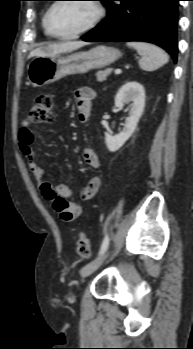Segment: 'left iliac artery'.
Instances as JSON below:
<instances>
[{
  "label": "left iliac artery",
  "mask_w": 193,
  "mask_h": 349,
  "mask_svg": "<svg viewBox=\"0 0 193 349\" xmlns=\"http://www.w3.org/2000/svg\"><path fill=\"white\" fill-rule=\"evenodd\" d=\"M108 245H109V237H108V235H106L103 242H102V245H101V248L99 251V255L103 254L107 250Z\"/></svg>",
  "instance_id": "44dca946"
}]
</instances>
